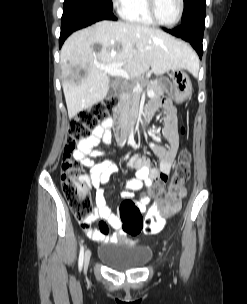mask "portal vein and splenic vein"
I'll return each instance as SVG.
<instances>
[{
  "mask_svg": "<svg viewBox=\"0 0 247 304\" xmlns=\"http://www.w3.org/2000/svg\"><path fill=\"white\" fill-rule=\"evenodd\" d=\"M123 64H124L123 62H118V63L106 65V66H100V69H102L107 74L112 75V76H121L126 79H131L130 75L124 69L121 68ZM135 90L137 92H142L143 89L140 86V84L137 83ZM147 95L151 98L154 97L153 90H148Z\"/></svg>",
  "mask_w": 247,
  "mask_h": 304,
  "instance_id": "18ae733b",
  "label": "portal vein and splenic vein"
}]
</instances>
